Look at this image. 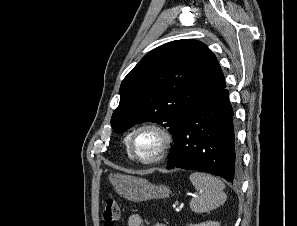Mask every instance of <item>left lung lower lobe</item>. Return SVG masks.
<instances>
[{"label": "left lung lower lobe", "instance_id": "0a47b994", "mask_svg": "<svg viewBox=\"0 0 297 226\" xmlns=\"http://www.w3.org/2000/svg\"><path fill=\"white\" fill-rule=\"evenodd\" d=\"M224 88L206 93L183 120L169 152L167 169L204 171L232 183L239 180L233 110Z\"/></svg>", "mask_w": 297, "mask_h": 226}]
</instances>
